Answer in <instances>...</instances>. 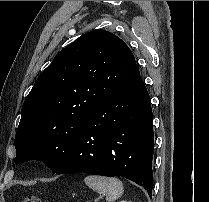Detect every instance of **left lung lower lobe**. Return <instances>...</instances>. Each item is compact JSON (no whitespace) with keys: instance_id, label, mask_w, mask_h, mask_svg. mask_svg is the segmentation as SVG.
Segmentation results:
<instances>
[{"instance_id":"1","label":"left lung lower lobe","mask_w":209,"mask_h":202,"mask_svg":"<svg viewBox=\"0 0 209 202\" xmlns=\"http://www.w3.org/2000/svg\"><path fill=\"white\" fill-rule=\"evenodd\" d=\"M154 151L151 100L140 76L84 120L82 133L59 174L122 176L152 197Z\"/></svg>"}]
</instances>
